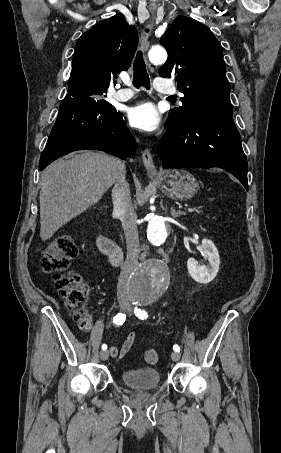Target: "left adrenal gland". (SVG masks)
<instances>
[{"instance_id": "1", "label": "left adrenal gland", "mask_w": 281, "mask_h": 453, "mask_svg": "<svg viewBox=\"0 0 281 453\" xmlns=\"http://www.w3.org/2000/svg\"><path fill=\"white\" fill-rule=\"evenodd\" d=\"M171 216L176 218V216H180L182 214L181 210H175V208H170Z\"/></svg>"}]
</instances>
